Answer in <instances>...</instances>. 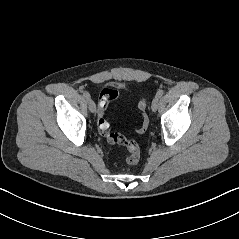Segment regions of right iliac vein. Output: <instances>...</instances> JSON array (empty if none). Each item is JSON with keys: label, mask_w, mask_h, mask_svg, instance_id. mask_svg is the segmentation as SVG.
<instances>
[{"label": "right iliac vein", "mask_w": 239, "mask_h": 239, "mask_svg": "<svg viewBox=\"0 0 239 239\" xmlns=\"http://www.w3.org/2000/svg\"><path fill=\"white\" fill-rule=\"evenodd\" d=\"M88 108L90 110V112L94 113L96 111V106L95 103L92 99H88Z\"/></svg>", "instance_id": "right-iliac-vein-1"}]
</instances>
